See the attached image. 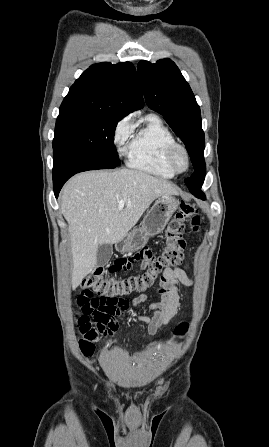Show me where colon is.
Instances as JSON below:
<instances>
[{
    "label": "colon",
    "instance_id": "colon-1",
    "mask_svg": "<svg viewBox=\"0 0 269 447\" xmlns=\"http://www.w3.org/2000/svg\"><path fill=\"white\" fill-rule=\"evenodd\" d=\"M200 223L198 206L194 203H182L168 223L162 251L143 249L131 253L129 257H116L115 262H108L104 270L100 266L94 267L93 272L83 280L84 292L78 298L81 312L76 317L80 331L79 348L83 355H90L94 351L101 334L106 339H113L114 331L119 330V323L111 322L112 314L118 310V303L112 298L124 296L122 301L127 303L129 298L126 295L132 291L149 289L157 280H163L168 270L182 262L186 246L185 231L196 234ZM111 267L117 271L145 272L140 276L121 279L106 273ZM93 295L106 298L91 299L90 296ZM117 301H121V298H117ZM188 330L189 324L182 321L173 328L172 337L175 340L181 338Z\"/></svg>",
    "mask_w": 269,
    "mask_h": 447
}]
</instances>
